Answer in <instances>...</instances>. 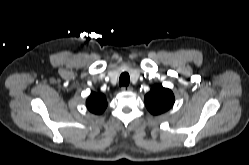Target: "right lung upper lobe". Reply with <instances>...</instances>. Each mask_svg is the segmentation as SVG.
Instances as JSON below:
<instances>
[{
    "label": "right lung upper lobe",
    "mask_w": 249,
    "mask_h": 165,
    "mask_svg": "<svg viewBox=\"0 0 249 165\" xmlns=\"http://www.w3.org/2000/svg\"><path fill=\"white\" fill-rule=\"evenodd\" d=\"M86 105L90 112L101 114L107 107V100L103 94L92 92L86 100Z\"/></svg>",
    "instance_id": "1"
}]
</instances>
